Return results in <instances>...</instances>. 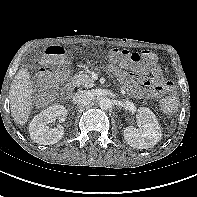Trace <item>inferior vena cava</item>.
<instances>
[{"mask_svg": "<svg viewBox=\"0 0 197 197\" xmlns=\"http://www.w3.org/2000/svg\"><path fill=\"white\" fill-rule=\"evenodd\" d=\"M90 94L85 90L77 91L73 96V103L77 105H82L90 100Z\"/></svg>", "mask_w": 197, "mask_h": 197, "instance_id": "602c4592", "label": "inferior vena cava"}]
</instances>
